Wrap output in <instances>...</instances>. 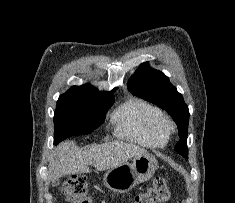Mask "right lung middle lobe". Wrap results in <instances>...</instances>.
<instances>
[{"label":"right lung middle lobe","mask_w":235,"mask_h":203,"mask_svg":"<svg viewBox=\"0 0 235 203\" xmlns=\"http://www.w3.org/2000/svg\"><path fill=\"white\" fill-rule=\"evenodd\" d=\"M113 103L112 94L66 92L61 95L54 115V144L70 136L93 132L104 122Z\"/></svg>","instance_id":"obj_1"}]
</instances>
